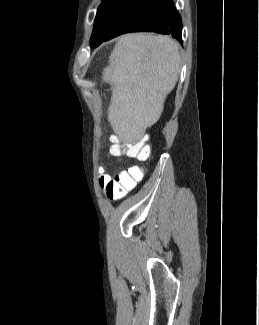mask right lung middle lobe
Instances as JSON below:
<instances>
[{
    "instance_id": "right-lung-middle-lobe-1",
    "label": "right lung middle lobe",
    "mask_w": 259,
    "mask_h": 325,
    "mask_svg": "<svg viewBox=\"0 0 259 325\" xmlns=\"http://www.w3.org/2000/svg\"><path fill=\"white\" fill-rule=\"evenodd\" d=\"M132 2L133 0H102L95 18L91 47L103 42Z\"/></svg>"
}]
</instances>
